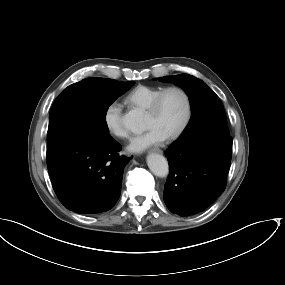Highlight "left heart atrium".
Listing matches in <instances>:
<instances>
[{"mask_svg":"<svg viewBox=\"0 0 285 285\" xmlns=\"http://www.w3.org/2000/svg\"><path fill=\"white\" fill-rule=\"evenodd\" d=\"M165 138L166 136L159 130L150 128L146 133L135 136L128 145V149L132 152H141L154 144L160 143Z\"/></svg>","mask_w":285,"mask_h":285,"instance_id":"1","label":"left heart atrium"}]
</instances>
